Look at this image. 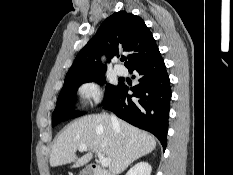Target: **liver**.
Returning <instances> with one entry per match:
<instances>
[{
	"label": "liver",
	"mask_w": 233,
	"mask_h": 175,
	"mask_svg": "<svg viewBox=\"0 0 233 175\" xmlns=\"http://www.w3.org/2000/svg\"><path fill=\"white\" fill-rule=\"evenodd\" d=\"M117 121L113 124L108 114H93L70 123L52 146L50 166L70 163L74 168L84 166L93 158L92 150H97L111 160V175H118L155 149L153 136L123 120ZM81 145H86L89 152L77 157L76 151Z\"/></svg>",
	"instance_id": "6515ba94"
}]
</instances>
